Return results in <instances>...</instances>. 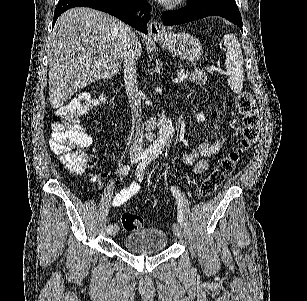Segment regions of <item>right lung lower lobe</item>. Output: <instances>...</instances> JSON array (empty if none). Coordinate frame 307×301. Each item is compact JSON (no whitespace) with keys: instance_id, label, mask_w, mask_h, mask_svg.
I'll return each mask as SVG.
<instances>
[{"instance_id":"1","label":"right lung lower lobe","mask_w":307,"mask_h":301,"mask_svg":"<svg viewBox=\"0 0 307 301\" xmlns=\"http://www.w3.org/2000/svg\"><path fill=\"white\" fill-rule=\"evenodd\" d=\"M80 6L107 12L135 29L147 33L150 6L143 0H59L54 13L53 25L63 12ZM138 10H141V14L146 11L142 18L134 15Z\"/></svg>"}]
</instances>
